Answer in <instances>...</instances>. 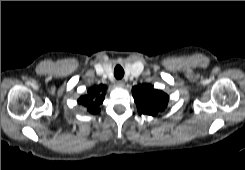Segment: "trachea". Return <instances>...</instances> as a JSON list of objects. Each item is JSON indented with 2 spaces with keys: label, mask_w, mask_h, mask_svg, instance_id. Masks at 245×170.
<instances>
[{
  "label": "trachea",
  "mask_w": 245,
  "mask_h": 170,
  "mask_svg": "<svg viewBox=\"0 0 245 170\" xmlns=\"http://www.w3.org/2000/svg\"><path fill=\"white\" fill-rule=\"evenodd\" d=\"M114 76L117 80L122 79L124 76V70L120 65H117L114 70Z\"/></svg>",
  "instance_id": "obj_1"
}]
</instances>
